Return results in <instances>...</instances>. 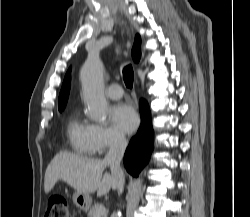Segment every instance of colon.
Masks as SVG:
<instances>
[{
    "instance_id": "1",
    "label": "colon",
    "mask_w": 250,
    "mask_h": 217,
    "mask_svg": "<svg viewBox=\"0 0 250 217\" xmlns=\"http://www.w3.org/2000/svg\"><path fill=\"white\" fill-rule=\"evenodd\" d=\"M44 217H70L66 199L62 196H52L48 200Z\"/></svg>"
}]
</instances>
